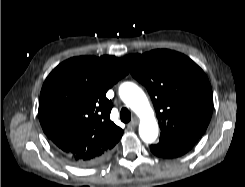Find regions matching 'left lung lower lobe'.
Instances as JSON below:
<instances>
[{"mask_svg": "<svg viewBox=\"0 0 245 187\" xmlns=\"http://www.w3.org/2000/svg\"><path fill=\"white\" fill-rule=\"evenodd\" d=\"M199 137L185 136L175 138H162L156 145H151L153 154L163 158H176L187 153L196 143Z\"/></svg>", "mask_w": 245, "mask_h": 187, "instance_id": "obj_1", "label": "left lung lower lobe"}]
</instances>
